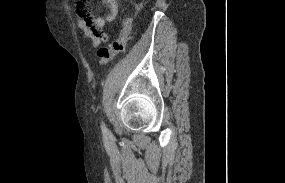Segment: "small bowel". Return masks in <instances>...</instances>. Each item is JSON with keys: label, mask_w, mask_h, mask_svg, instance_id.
<instances>
[{"label": "small bowel", "mask_w": 285, "mask_h": 183, "mask_svg": "<svg viewBox=\"0 0 285 183\" xmlns=\"http://www.w3.org/2000/svg\"><path fill=\"white\" fill-rule=\"evenodd\" d=\"M108 8V14L105 16H95L85 6L84 2L78 3L76 23L84 36L89 38L94 48L109 41V35L104 28L114 21L119 13L120 7L117 0H103Z\"/></svg>", "instance_id": "small-bowel-1"}]
</instances>
